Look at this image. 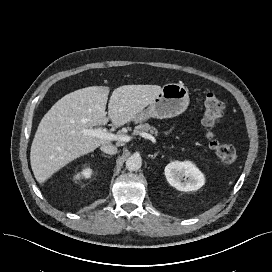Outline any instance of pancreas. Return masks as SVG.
Returning <instances> with one entry per match:
<instances>
[{
	"label": "pancreas",
	"mask_w": 272,
	"mask_h": 272,
	"mask_svg": "<svg viewBox=\"0 0 272 272\" xmlns=\"http://www.w3.org/2000/svg\"><path fill=\"white\" fill-rule=\"evenodd\" d=\"M146 132H149V133L155 134V135H158V133H159L155 127L149 125L148 123L139 124L133 130L134 135H139L141 133H146Z\"/></svg>",
	"instance_id": "cf45deb5"
}]
</instances>
